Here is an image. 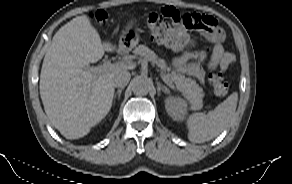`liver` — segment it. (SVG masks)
Instances as JSON below:
<instances>
[{
  "instance_id": "obj_1",
  "label": "liver",
  "mask_w": 292,
  "mask_h": 184,
  "mask_svg": "<svg viewBox=\"0 0 292 184\" xmlns=\"http://www.w3.org/2000/svg\"><path fill=\"white\" fill-rule=\"evenodd\" d=\"M120 48L119 51H126ZM105 51H116L102 42L87 15L77 16L54 35L42 64L40 96L51 124L67 139L87 135L110 111L116 74L127 67L93 73L90 63L100 60Z\"/></svg>"
}]
</instances>
